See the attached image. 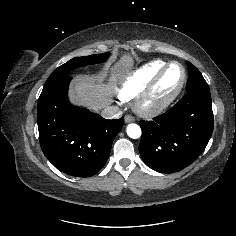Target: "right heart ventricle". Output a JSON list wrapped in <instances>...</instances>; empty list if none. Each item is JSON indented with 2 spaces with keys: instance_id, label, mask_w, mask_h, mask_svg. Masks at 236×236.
I'll use <instances>...</instances> for the list:
<instances>
[{
  "instance_id": "1",
  "label": "right heart ventricle",
  "mask_w": 236,
  "mask_h": 236,
  "mask_svg": "<svg viewBox=\"0 0 236 236\" xmlns=\"http://www.w3.org/2000/svg\"><path fill=\"white\" fill-rule=\"evenodd\" d=\"M166 64L165 61L154 60L130 73L120 83L117 89L118 97L128 101L139 95Z\"/></svg>"
}]
</instances>
